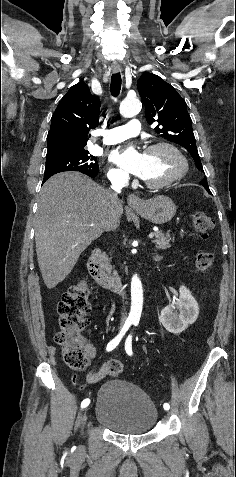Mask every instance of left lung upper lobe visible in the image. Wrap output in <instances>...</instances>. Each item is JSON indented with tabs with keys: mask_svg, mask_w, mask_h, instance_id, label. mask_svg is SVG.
<instances>
[{
	"mask_svg": "<svg viewBox=\"0 0 236 477\" xmlns=\"http://www.w3.org/2000/svg\"><path fill=\"white\" fill-rule=\"evenodd\" d=\"M137 88L145 103L147 122H158L156 133L184 147L194 159L196 167L203 171L192 130V120L183 98L174 87L149 72L139 78ZM200 184L210 192L206 177Z\"/></svg>",
	"mask_w": 236,
	"mask_h": 477,
	"instance_id": "5c2ea615",
	"label": "left lung upper lobe"
}]
</instances>
